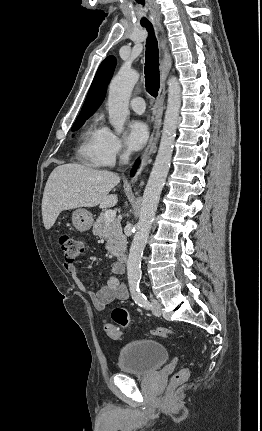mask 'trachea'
<instances>
[{
    "label": "trachea",
    "instance_id": "1",
    "mask_svg": "<svg viewBox=\"0 0 262 431\" xmlns=\"http://www.w3.org/2000/svg\"><path fill=\"white\" fill-rule=\"evenodd\" d=\"M136 1L144 8V0ZM143 27H145L149 33L146 42L145 86L146 91L151 96L156 97L160 87L158 43L154 35L153 26L145 25Z\"/></svg>",
    "mask_w": 262,
    "mask_h": 431
}]
</instances>
